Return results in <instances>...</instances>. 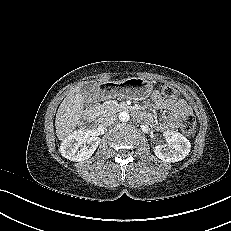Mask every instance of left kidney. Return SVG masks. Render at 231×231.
I'll return each instance as SVG.
<instances>
[{"mask_svg":"<svg viewBox=\"0 0 231 231\" xmlns=\"http://www.w3.org/2000/svg\"><path fill=\"white\" fill-rule=\"evenodd\" d=\"M163 137L167 145H157L154 147L155 155L165 162H178L183 160L191 150L189 140L176 131H165Z\"/></svg>","mask_w":231,"mask_h":231,"instance_id":"left-kidney-1","label":"left kidney"}]
</instances>
